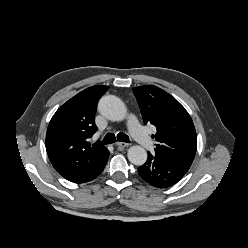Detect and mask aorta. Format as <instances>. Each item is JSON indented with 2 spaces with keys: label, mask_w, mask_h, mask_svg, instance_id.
<instances>
[{
  "label": "aorta",
  "mask_w": 248,
  "mask_h": 248,
  "mask_svg": "<svg viewBox=\"0 0 248 248\" xmlns=\"http://www.w3.org/2000/svg\"><path fill=\"white\" fill-rule=\"evenodd\" d=\"M99 112L111 121H122L127 114L125 104L121 99L113 95H107L100 99L98 104ZM131 163L141 166L147 160L146 150L138 145L131 146L127 153Z\"/></svg>",
  "instance_id": "aorta-1"
}]
</instances>
